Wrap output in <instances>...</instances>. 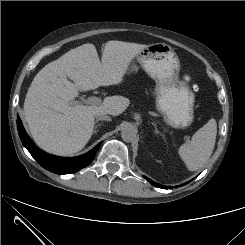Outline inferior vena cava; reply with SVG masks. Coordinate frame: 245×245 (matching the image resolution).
I'll list each match as a JSON object with an SVG mask.
<instances>
[{
	"label": "inferior vena cava",
	"instance_id": "obj_1",
	"mask_svg": "<svg viewBox=\"0 0 245 245\" xmlns=\"http://www.w3.org/2000/svg\"><path fill=\"white\" fill-rule=\"evenodd\" d=\"M96 119L97 120H104V121H111V117L104 114V113H97L96 114Z\"/></svg>",
	"mask_w": 245,
	"mask_h": 245
}]
</instances>
